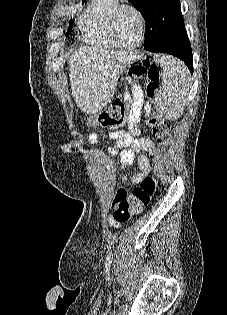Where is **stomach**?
I'll return each mask as SVG.
<instances>
[{
    "label": "stomach",
    "mask_w": 227,
    "mask_h": 315,
    "mask_svg": "<svg viewBox=\"0 0 227 315\" xmlns=\"http://www.w3.org/2000/svg\"><path fill=\"white\" fill-rule=\"evenodd\" d=\"M103 113H105V112H103ZM100 115H101V113L95 115L94 122H95L96 124H99V123H100V121L98 120Z\"/></svg>",
    "instance_id": "obj_1"
}]
</instances>
